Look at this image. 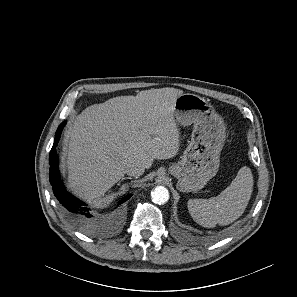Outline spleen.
I'll return each mask as SVG.
<instances>
[{"label":"spleen","mask_w":297,"mask_h":297,"mask_svg":"<svg viewBox=\"0 0 297 297\" xmlns=\"http://www.w3.org/2000/svg\"><path fill=\"white\" fill-rule=\"evenodd\" d=\"M253 175L247 166L242 167L231 184L217 197L189 199L188 210L199 225L213 228L216 224L228 225L245 211L253 191Z\"/></svg>","instance_id":"3e777b00"}]
</instances>
